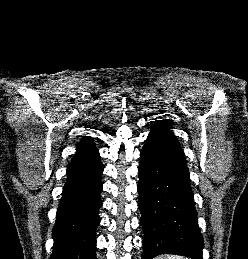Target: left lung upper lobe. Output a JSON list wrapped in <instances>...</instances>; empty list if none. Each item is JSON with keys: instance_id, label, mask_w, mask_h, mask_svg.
Here are the masks:
<instances>
[{"instance_id": "5c2ea615", "label": "left lung upper lobe", "mask_w": 248, "mask_h": 259, "mask_svg": "<svg viewBox=\"0 0 248 259\" xmlns=\"http://www.w3.org/2000/svg\"><path fill=\"white\" fill-rule=\"evenodd\" d=\"M147 140L152 142H157L159 144L165 145L170 149L178 151L184 156V152L175 139L173 133L169 130V126L165 122L158 123L153 129Z\"/></svg>"}]
</instances>
